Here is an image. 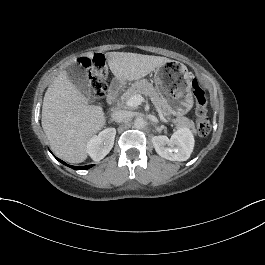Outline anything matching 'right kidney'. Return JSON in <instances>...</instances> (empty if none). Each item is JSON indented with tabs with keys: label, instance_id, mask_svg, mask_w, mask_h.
Wrapping results in <instances>:
<instances>
[{
	"label": "right kidney",
	"instance_id": "obj_1",
	"mask_svg": "<svg viewBox=\"0 0 265 265\" xmlns=\"http://www.w3.org/2000/svg\"><path fill=\"white\" fill-rule=\"evenodd\" d=\"M115 135V128H106L98 135L92 136L86 144V152L94 161H100L112 149Z\"/></svg>",
	"mask_w": 265,
	"mask_h": 265
}]
</instances>
